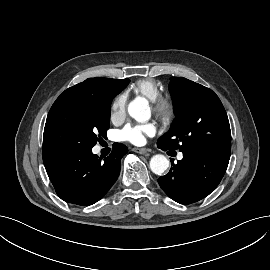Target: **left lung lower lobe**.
<instances>
[{
    "label": "left lung lower lobe",
    "mask_w": 270,
    "mask_h": 270,
    "mask_svg": "<svg viewBox=\"0 0 270 270\" xmlns=\"http://www.w3.org/2000/svg\"><path fill=\"white\" fill-rule=\"evenodd\" d=\"M182 153L183 159L172 164L169 173L160 177L158 183L174 201L191 204L208 196L218 186L226 172L230 151L192 149Z\"/></svg>",
    "instance_id": "1"
}]
</instances>
